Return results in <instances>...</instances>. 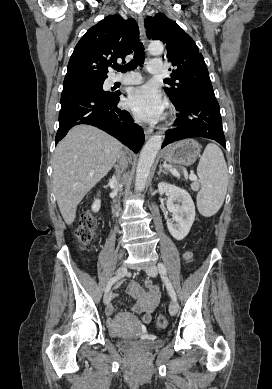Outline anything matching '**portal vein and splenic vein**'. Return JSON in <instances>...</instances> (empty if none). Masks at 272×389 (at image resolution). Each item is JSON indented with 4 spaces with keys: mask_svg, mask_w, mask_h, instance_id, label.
Here are the masks:
<instances>
[{
    "mask_svg": "<svg viewBox=\"0 0 272 389\" xmlns=\"http://www.w3.org/2000/svg\"><path fill=\"white\" fill-rule=\"evenodd\" d=\"M170 172H171L174 176L180 177V175H179V173L177 172L176 169L170 168ZM189 179L192 180V181H195V180H197V176L194 175L193 173H191V174L189 175Z\"/></svg>",
    "mask_w": 272,
    "mask_h": 389,
    "instance_id": "18ae733b",
    "label": "portal vein and splenic vein"
}]
</instances>
